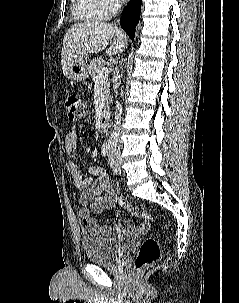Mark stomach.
Returning <instances> with one entry per match:
<instances>
[{
  "mask_svg": "<svg viewBox=\"0 0 239 303\" xmlns=\"http://www.w3.org/2000/svg\"><path fill=\"white\" fill-rule=\"evenodd\" d=\"M69 79L73 81H83L88 78L87 59L79 57L70 62L66 71Z\"/></svg>",
  "mask_w": 239,
  "mask_h": 303,
  "instance_id": "1",
  "label": "stomach"
}]
</instances>
